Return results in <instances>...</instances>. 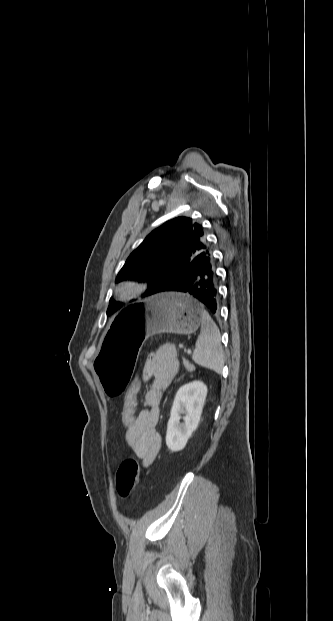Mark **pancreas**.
I'll list each match as a JSON object with an SVG mask.
<instances>
[{
	"label": "pancreas",
	"instance_id": "pancreas-1",
	"mask_svg": "<svg viewBox=\"0 0 333 621\" xmlns=\"http://www.w3.org/2000/svg\"><path fill=\"white\" fill-rule=\"evenodd\" d=\"M183 364H184V366H185V368H186V370H187L188 372H192V371H194V370H195V366H194L193 364L189 363V361H188V360L183 359Z\"/></svg>",
	"mask_w": 333,
	"mask_h": 621
}]
</instances>
